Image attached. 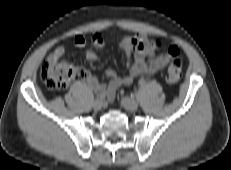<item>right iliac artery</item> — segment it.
<instances>
[{
    "instance_id": "1",
    "label": "right iliac artery",
    "mask_w": 231,
    "mask_h": 170,
    "mask_svg": "<svg viewBox=\"0 0 231 170\" xmlns=\"http://www.w3.org/2000/svg\"><path fill=\"white\" fill-rule=\"evenodd\" d=\"M97 98L103 100L105 98V95L103 93H98Z\"/></svg>"
}]
</instances>
